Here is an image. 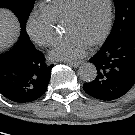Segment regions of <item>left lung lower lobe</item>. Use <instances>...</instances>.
<instances>
[{
    "mask_svg": "<svg viewBox=\"0 0 135 135\" xmlns=\"http://www.w3.org/2000/svg\"><path fill=\"white\" fill-rule=\"evenodd\" d=\"M89 61L96 66L97 76L83 84L87 94L104 101L125 95L135 84V29L124 37L106 41Z\"/></svg>",
    "mask_w": 135,
    "mask_h": 135,
    "instance_id": "obj_1",
    "label": "left lung lower lobe"
}]
</instances>
